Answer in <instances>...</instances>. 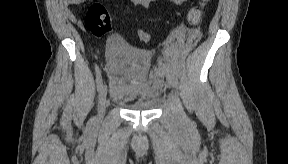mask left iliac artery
Masks as SVG:
<instances>
[{
  "label": "left iliac artery",
  "mask_w": 288,
  "mask_h": 164,
  "mask_svg": "<svg viewBox=\"0 0 288 164\" xmlns=\"http://www.w3.org/2000/svg\"><path fill=\"white\" fill-rule=\"evenodd\" d=\"M172 73L175 77H180V73L178 72L176 68H173Z\"/></svg>",
  "instance_id": "44dca946"
}]
</instances>
